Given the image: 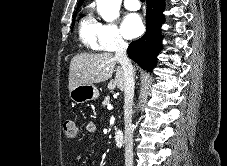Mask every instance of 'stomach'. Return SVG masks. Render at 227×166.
<instances>
[{
  "mask_svg": "<svg viewBox=\"0 0 227 166\" xmlns=\"http://www.w3.org/2000/svg\"><path fill=\"white\" fill-rule=\"evenodd\" d=\"M70 99L75 103H84L99 97V91L93 84L78 85L69 91Z\"/></svg>",
  "mask_w": 227,
  "mask_h": 166,
  "instance_id": "stomach-1",
  "label": "stomach"
}]
</instances>
